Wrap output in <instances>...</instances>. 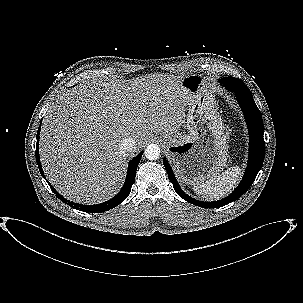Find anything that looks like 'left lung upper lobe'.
I'll return each mask as SVG.
<instances>
[{"mask_svg": "<svg viewBox=\"0 0 303 303\" xmlns=\"http://www.w3.org/2000/svg\"><path fill=\"white\" fill-rule=\"evenodd\" d=\"M228 78H234V77H228ZM223 80V79H222ZM221 80V81H222ZM240 80V79H239ZM241 81V80H240ZM242 82V81H241ZM242 85L243 87L245 88V90L248 92V93H251L250 90L246 87V85L242 82Z\"/></svg>", "mask_w": 303, "mask_h": 303, "instance_id": "left-lung-upper-lobe-1", "label": "left lung upper lobe"}]
</instances>
